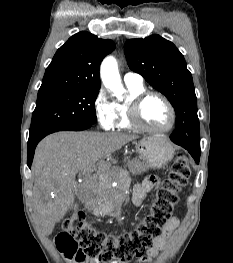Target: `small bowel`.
Listing matches in <instances>:
<instances>
[{
  "mask_svg": "<svg viewBox=\"0 0 233 263\" xmlns=\"http://www.w3.org/2000/svg\"><path fill=\"white\" fill-rule=\"evenodd\" d=\"M159 186V180L156 177H148L141 184L134 187L133 202L139 205L146 197L147 193ZM179 219L175 216L171 217L163 229V235L157 238L147 251L145 256L136 258L133 263H144L153 260L166 247L167 240L171 233L178 227ZM92 263H101L99 260H94ZM109 263H120L117 260H112Z\"/></svg>",
  "mask_w": 233,
  "mask_h": 263,
  "instance_id": "small-bowel-1",
  "label": "small bowel"
}]
</instances>
